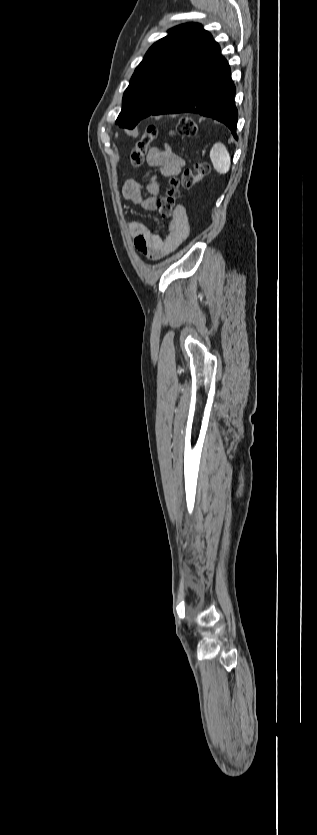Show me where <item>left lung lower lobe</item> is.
Instances as JSON below:
<instances>
[{
	"instance_id": "1",
	"label": "left lung lower lobe",
	"mask_w": 317,
	"mask_h": 835,
	"mask_svg": "<svg viewBox=\"0 0 317 835\" xmlns=\"http://www.w3.org/2000/svg\"><path fill=\"white\" fill-rule=\"evenodd\" d=\"M235 86L219 45L210 44L187 67L169 97L151 114L195 113L224 123L237 139Z\"/></svg>"
}]
</instances>
